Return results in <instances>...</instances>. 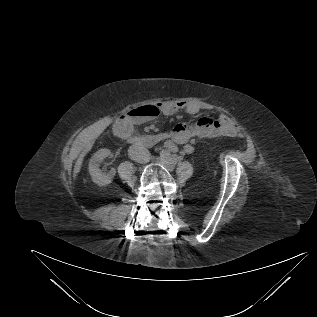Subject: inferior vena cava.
<instances>
[{"instance_id":"inferior-vena-cava-1","label":"inferior vena cava","mask_w":317,"mask_h":317,"mask_svg":"<svg viewBox=\"0 0 317 317\" xmlns=\"http://www.w3.org/2000/svg\"><path fill=\"white\" fill-rule=\"evenodd\" d=\"M128 155L131 160L136 161L138 163H147L150 160L151 154L150 152L139 145H132L128 149Z\"/></svg>"}]
</instances>
